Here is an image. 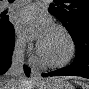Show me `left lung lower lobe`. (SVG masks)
Here are the masks:
<instances>
[{
    "instance_id": "obj_1",
    "label": "left lung lower lobe",
    "mask_w": 89,
    "mask_h": 89,
    "mask_svg": "<svg viewBox=\"0 0 89 89\" xmlns=\"http://www.w3.org/2000/svg\"><path fill=\"white\" fill-rule=\"evenodd\" d=\"M72 39L76 46L73 63L65 68L42 74L46 76H81L89 78V26H81Z\"/></svg>"
}]
</instances>
